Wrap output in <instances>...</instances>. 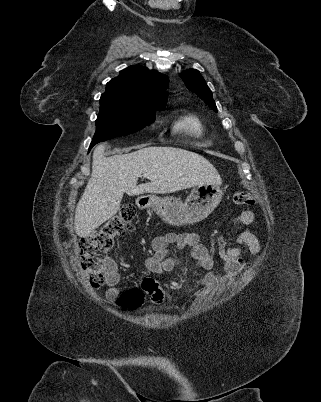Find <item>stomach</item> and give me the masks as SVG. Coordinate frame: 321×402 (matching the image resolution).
<instances>
[{
  "label": "stomach",
  "instance_id": "stomach-1",
  "mask_svg": "<svg viewBox=\"0 0 321 402\" xmlns=\"http://www.w3.org/2000/svg\"><path fill=\"white\" fill-rule=\"evenodd\" d=\"M223 196L220 184L209 183L193 189L183 203L174 197L150 195L147 205L166 223L174 226L194 224L206 218Z\"/></svg>",
  "mask_w": 321,
  "mask_h": 402
}]
</instances>
